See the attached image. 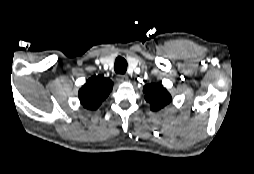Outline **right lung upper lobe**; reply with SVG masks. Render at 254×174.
I'll list each match as a JSON object with an SVG mask.
<instances>
[{
  "mask_svg": "<svg viewBox=\"0 0 254 174\" xmlns=\"http://www.w3.org/2000/svg\"><path fill=\"white\" fill-rule=\"evenodd\" d=\"M113 82L101 76H92L79 90V99L84 108L96 110L112 91Z\"/></svg>",
  "mask_w": 254,
  "mask_h": 174,
  "instance_id": "1",
  "label": "right lung upper lobe"
}]
</instances>
